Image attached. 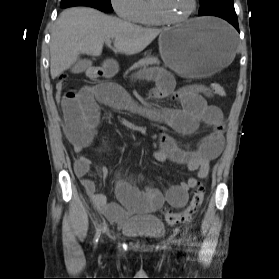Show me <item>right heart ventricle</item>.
Masks as SVG:
<instances>
[{
  "label": "right heart ventricle",
  "mask_w": 279,
  "mask_h": 279,
  "mask_svg": "<svg viewBox=\"0 0 279 279\" xmlns=\"http://www.w3.org/2000/svg\"><path fill=\"white\" fill-rule=\"evenodd\" d=\"M136 22L147 26H156L161 24V21L154 13L151 0H142L141 10Z\"/></svg>",
  "instance_id": "1"
}]
</instances>
